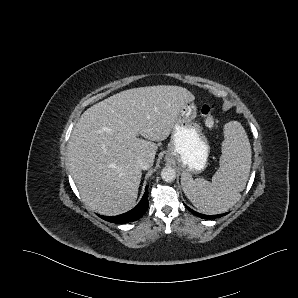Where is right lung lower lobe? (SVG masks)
Returning a JSON list of instances; mask_svg holds the SVG:
<instances>
[{
	"mask_svg": "<svg viewBox=\"0 0 298 298\" xmlns=\"http://www.w3.org/2000/svg\"><path fill=\"white\" fill-rule=\"evenodd\" d=\"M148 187V186H147ZM146 187V191L141 199V201L138 203V205L133 208L132 210L118 215V216H101L99 215V217H101L102 219L109 221V222H114V223H128V222H132V221H136L139 218H141L144 213L146 212V210L149 207V203H148V189Z\"/></svg>",
	"mask_w": 298,
	"mask_h": 298,
	"instance_id": "obj_1",
	"label": "right lung lower lobe"
}]
</instances>
